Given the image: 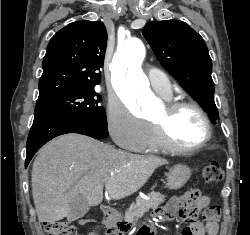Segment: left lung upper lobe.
<instances>
[{"instance_id":"obj_1","label":"left lung upper lobe","mask_w":250,"mask_h":235,"mask_svg":"<svg viewBox=\"0 0 250 235\" xmlns=\"http://www.w3.org/2000/svg\"><path fill=\"white\" fill-rule=\"evenodd\" d=\"M142 33L162 66L216 124L218 110L213 99L212 61L203 38L180 20L150 22Z\"/></svg>"}]
</instances>
